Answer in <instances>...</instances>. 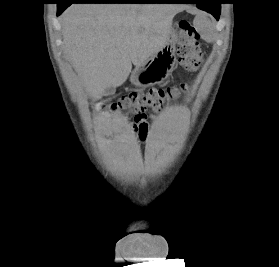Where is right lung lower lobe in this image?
<instances>
[{"mask_svg":"<svg viewBox=\"0 0 279 267\" xmlns=\"http://www.w3.org/2000/svg\"><path fill=\"white\" fill-rule=\"evenodd\" d=\"M165 0H61L58 3V13L60 15L72 3H165Z\"/></svg>","mask_w":279,"mask_h":267,"instance_id":"obj_1","label":"right lung lower lobe"}]
</instances>
